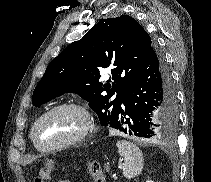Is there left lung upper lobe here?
<instances>
[{"mask_svg":"<svg viewBox=\"0 0 211 182\" xmlns=\"http://www.w3.org/2000/svg\"><path fill=\"white\" fill-rule=\"evenodd\" d=\"M152 46L151 37L132 17L101 19L51 61L33 92L32 102L40 105L67 92L77 93L89 102L102 126L115 128L125 90ZM102 68L111 69L106 84L99 81Z\"/></svg>","mask_w":211,"mask_h":182,"instance_id":"5c2ea615","label":"left lung upper lobe"}]
</instances>
